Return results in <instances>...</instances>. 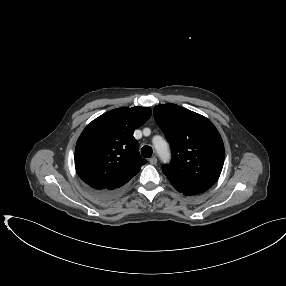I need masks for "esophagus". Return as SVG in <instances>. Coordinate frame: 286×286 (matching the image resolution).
<instances>
[{
  "mask_svg": "<svg viewBox=\"0 0 286 286\" xmlns=\"http://www.w3.org/2000/svg\"><path fill=\"white\" fill-rule=\"evenodd\" d=\"M149 162H150V164H152V165H156V163H157V158H156V157H152V158L149 159Z\"/></svg>",
  "mask_w": 286,
  "mask_h": 286,
  "instance_id": "1",
  "label": "esophagus"
}]
</instances>
